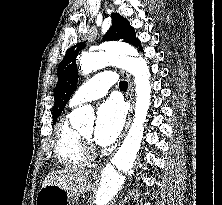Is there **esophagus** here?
Segmentation results:
<instances>
[{
  "label": "esophagus",
  "instance_id": "obj_1",
  "mask_svg": "<svg viewBox=\"0 0 222 205\" xmlns=\"http://www.w3.org/2000/svg\"><path fill=\"white\" fill-rule=\"evenodd\" d=\"M123 75L125 76V78L128 81V84H129L127 97H128L129 102H130V111H129V114H128V120H127V124H126L125 131H124V134H125L127 132L128 128H129L130 122H131V115H132V111H133V92H134V89H133V82H132L131 77L125 72H123Z\"/></svg>",
  "mask_w": 222,
  "mask_h": 205
}]
</instances>
